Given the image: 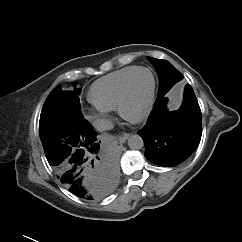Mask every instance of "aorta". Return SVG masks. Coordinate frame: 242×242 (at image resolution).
I'll list each match as a JSON object with an SVG mask.
<instances>
[{"label":"aorta","mask_w":242,"mask_h":242,"mask_svg":"<svg viewBox=\"0 0 242 242\" xmlns=\"http://www.w3.org/2000/svg\"><path fill=\"white\" fill-rule=\"evenodd\" d=\"M128 146L132 150H140L144 146V142L141 136L131 135L128 138Z\"/></svg>","instance_id":"1"}]
</instances>
